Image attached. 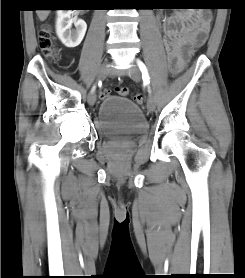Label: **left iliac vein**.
Returning <instances> with one entry per match:
<instances>
[{
	"mask_svg": "<svg viewBox=\"0 0 245 278\" xmlns=\"http://www.w3.org/2000/svg\"><path fill=\"white\" fill-rule=\"evenodd\" d=\"M130 77L135 80V81H140L141 80V72L140 70L133 66L129 68L128 70ZM147 107L150 111L155 110V99L152 95H149L148 100H147Z\"/></svg>",
	"mask_w": 245,
	"mask_h": 278,
	"instance_id": "left-iliac-vein-1",
	"label": "left iliac vein"
}]
</instances>
